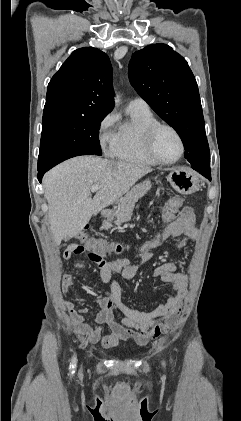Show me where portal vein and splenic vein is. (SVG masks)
<instances>
[{
  "label": "portal vein and splenic vein",
  "instance_id": "18ae733b",
  "mask_svg": "<svg viewBox=\"0 0 241 421\" xmlns=\"http://www.w3.org/2000/svg\"><path fill=\"white\" fill-rule=\"evenodd\" d=\"M99 188H100V186H98V185H92L91 188H90V191L92 193H94V192H97L99 190Z\"/></svg>",
  "mask_w": 241,
  "mask_h": 421
}]
</instances>
